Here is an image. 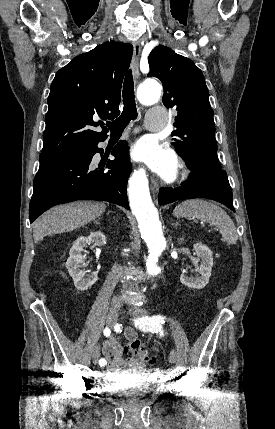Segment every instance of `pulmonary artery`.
<instances>
[{"mask_svg": "<svg viewBox=\"0 0 275 429\" xmlns=\"http://www.w3.org/2000/svg\"><path fill=\"white\" fill-rule=\"evenodd\" d=\"M167 114L164 109L154 107L147 112L146 128L149 130H159L164 127Z\"/></svg>", "mask_w": 275, "mask_h": 429, "instance_id": "pulmonary-artery-1", "label": "pulmonary artery"}]
</instances>
